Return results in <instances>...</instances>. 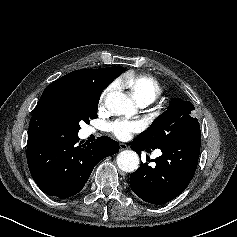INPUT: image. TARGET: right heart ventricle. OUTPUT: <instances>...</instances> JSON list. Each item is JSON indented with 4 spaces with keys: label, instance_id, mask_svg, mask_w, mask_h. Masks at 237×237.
<instances>
[{
    "label": "right heart ventricle",
    "instance_id": "1",
    "mask_svg": "<svg viewBox=\"0 0 237 237\" xmlns=\"http://www.w3.org/2000/svg\"><path fill=\"white\" fill-rule=\"evenodd\" d=\"M118 83L129 89L132 97L140 105H148L155 101L162 93L160 83L149 75L127 74L123 76Z\"/></svg>",
    "mask_w": 237,
    "mask_h": 237
}]
</instances>
